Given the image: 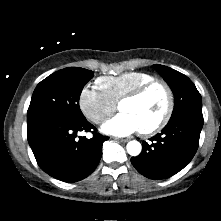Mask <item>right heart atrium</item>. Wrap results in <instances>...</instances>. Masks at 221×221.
<instances>
[{
  "label": "right heart atrium",
  "mask_w": 221,
  "mask_h": 221,
  "mask_svg": "<svg viewBox=\"0 0 221 221\" xmlns=\"http://www.w3.org/2000/svg\"><path fill=\"white\" fill-rule=\"evenodd\" d=\"M79 107L88 120L101 124L115 112L116 103L96 87L86 86L80 93Z\"/></svg>",
  "instance_id": "obj_1"
}]
</instances>
